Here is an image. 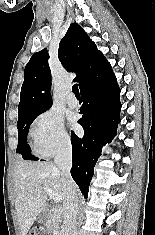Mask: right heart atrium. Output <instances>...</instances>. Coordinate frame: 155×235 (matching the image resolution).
<instances>
[{"label": "right heart atrium", "instance_id": "1", "mask_svg": "<svg viewBox=\"0 0 155 235\" xmlns=\"http://www.w3.org/2000/svg\"><path fill=\"white\" fill-rule=\"evenodd\" d=\"M30 136L36 151L43 156H52L68 150L71 138L62 117L53 110L40 113L32 122Z\"/></svg>", "mask_w": 155, "mask_h": 235}]
</instances>
